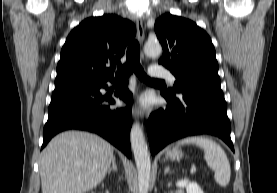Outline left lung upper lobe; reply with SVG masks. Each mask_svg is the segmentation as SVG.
Instances as JSON below:
<instances>
[{
  "label": "left lung upper lobe",
  "mask_w": 277,
  "mask_h": 193,
  "mask_svg": "<svg viewBox=\"0 0 277 193\" xmlns=\"http://www.w3.org/2000/svg\"><path fill=\"white\" fill-rule=\"evenodd\" d=\"M155 32L163 48L159 64L176 77L173 88L161 93L175 97L195 85H220L215 48L203 29L191 20L166 13L155 22Z\"/></svg>",
  "instance_id": "5c2ea615"
}]
</instances>
